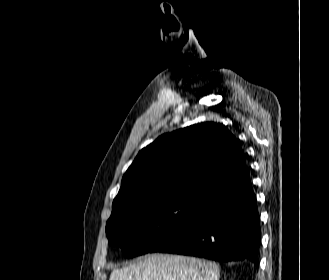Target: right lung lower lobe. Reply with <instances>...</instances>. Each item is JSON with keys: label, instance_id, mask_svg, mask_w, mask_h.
Here are the masks:
<instances>
[{"label": "right lung lower lobe", "instance_id": "obj_1", "mask_svg": "<svg viewBox=\"0 0 329 280\" xmlns=\"http://www.w3.org/2000/svg\"><path fill=\"white\" fill-rule=\"evenodd\" d=\"M260 239L256 197L245 165L213 184L187 219L149 253L246 259L258 267Z\"/></svg>", "mask_w": 329, "mask_h": 280}]
</instances>
